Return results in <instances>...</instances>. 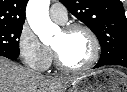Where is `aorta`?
Returning <instances> with one entry per match:
<instances>
[{
    "label": "aorta",
    "mask_w": 127,
    "mask_h": 92,
    "mask_svg": "<svg viewBox=\"0 0 127 92\" xmlns=\"http://www.w3.org/2000/svg\"><path fill=\"white\" fill-rule=\"evenodd\" d=\"M50 0H29L26 18L36 35L43 43L52 41V36L59 30L49 17Z\"/></svg>",
    "instance_id": "obj_1"
}]
</instances>
